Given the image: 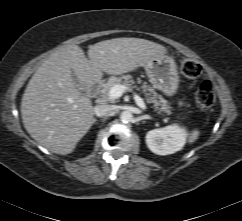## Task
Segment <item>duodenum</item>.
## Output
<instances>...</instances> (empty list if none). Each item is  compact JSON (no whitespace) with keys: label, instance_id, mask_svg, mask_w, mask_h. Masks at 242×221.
<instances>
[{"label":"duodenum","instance_id":"obj_1","mask_svg":"<svg viewBox=\"0 0 242 221\" xmlns=\"http://www.w3.org/2000/svg\"><path fill=\"white\" fill-rule=\"evenodd\" d=\"M98 90H99V81H94L89 86V89H88L89 96L92 98L95 97L98 93Z\"/></svg>","mask_w":242,"mask_h":221}]
</instances>
